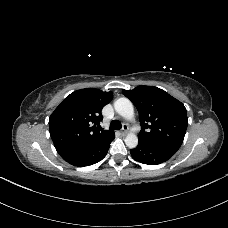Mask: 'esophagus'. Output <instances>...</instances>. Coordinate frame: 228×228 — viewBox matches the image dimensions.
<instances>
[{
	"instance_id": "obj_1",
	"label": "esophagus",
	"mask_w": 228,
	"mask_h": 228,
	"mask_svg": "<svg viewBox=\"0 0 228 228\" xmlns=\"http://www.w3.org/2000/svg\"><path fill=\"white\" fill-rule=\"evenodd\" d=\"M122 135H126L128 133V126L127 125H123V128L120 132Z\"/></svg>"
}]
</instances>
